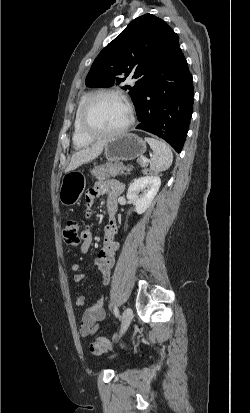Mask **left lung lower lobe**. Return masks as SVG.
<instances>
[{
    "instance_id": "obj_1",
    "label": "left lung lower lobe",
    "mask_w": 250,
    "mask_h": 413,
    "mask_svg": "<svg viewBox=\"0 0 250 413\" xmlns=\"http://www.w3.org/2000/svg\"><path fill=\"white\" fill-rule=\"evenodd\" d=\"M193 78L178 44L171 39L164 66L142 86L134 105L140 124L180 153L188 131L193 107Z\"/></svg>"
}]
</instances>
